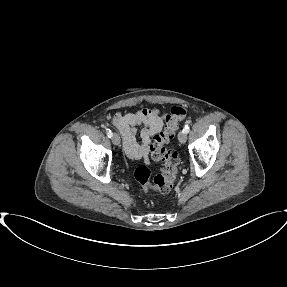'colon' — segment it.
Listing matches in <instances>:
<instances>
[{
	"label": "colon",
	"instance_id": "5ec220e1",
	"mask_svg": "<svg viewBox=\"0 0 287 287\" xmlns=\"http://www.w3.org/2000/svg\"><path fill=\"white\" fill-rule=\"evenodd\" d=\"M187 114L188 111L183 106L172 107L170 114L165 117L163 129L153 136L150 151L152 158L162 163L161 172L151 179V170L147 165H141L136 169L135 179L144 191L167 193L172 189L178 172L179 155L166 145L174 137Z\"/></svg>",
	"mask_w": 287,
	"mask_h": 287
}]
</instances>
